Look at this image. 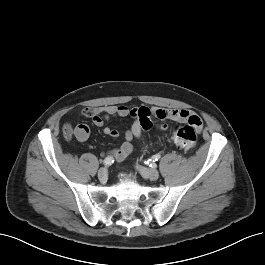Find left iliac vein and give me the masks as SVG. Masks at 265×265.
Masks as SVG:
<instances>
[{"mask_svg": "<svg viewBox=\"0 0 265 265\" xmlns=\"http://www.w3.org/2000/svg\"><path fill=\"white\" fill-rule=\"evenodd\" d=\"M137 169L140 174L146 179L157 180L159 178V172L155 169H150L143 166H138Z\"/></svg>", "mask_w": 265, "mask_h": 265, "instance_id": "1", "label": "left iliac vein"}]
</instances>
